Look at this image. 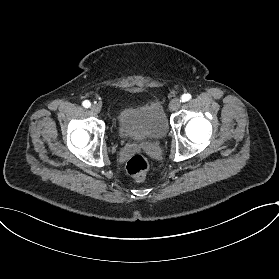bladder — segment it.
Returning a JSON list of instances; mask_svg holds the SVG:
<instances>
[{
    "instance_id": "31cf9c89",
    "label": "bladder",
    "mask_w": 279,
    "mask_h": 279,
    "mask_svg": "<svg viewBox=\"0 0 279 279\" xmlns=\"http://www.w3.org/2000/svg\"><path fill=\"white\" fill-rule=\"evenodd\" d=\"M117 131L130 143H143L164 137L168 118L157 97L135 106H122L115 117Z\"/></svg>"
}]
</instances>
